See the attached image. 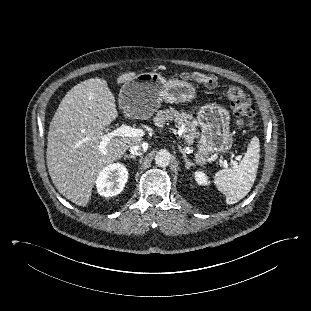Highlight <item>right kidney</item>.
Segmentation results:
<instances>
[{"instance_id":"ca27d5eb","label":"right kidney","mask_w":311,"mask_h":311,"mask_svg":"<svg viewBox=\"0 0 311 311\" xmlns=\"http://www.w3.org/2000/svg\"><path fill=\"white\" fill-rule=\"evenodd\" d=\"M128 179L127 168L113 163L103 168L96 180L97 192L104 197H112L122 192Z\"/></svg>"}]
</instances>
